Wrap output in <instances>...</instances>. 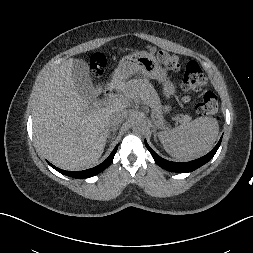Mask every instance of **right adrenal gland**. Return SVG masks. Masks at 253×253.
Listing matches in <instances>:
<instances>
[{"label": "right adrenal gland", "mask_w": 253, "mask_h": 253, "mask_svg": "<svg viewBox=\"0 0 253 253\" xmlns=\"http://www.w3.org/2000/svg\"><path fill=\"white\" fill-rule=\"evenodd\" d=\"M117 127H112L109 129V133L112 132L113 136H109L112 140L115 138Z\"/></svg>", "instance_id": "1"}]
</instances>
